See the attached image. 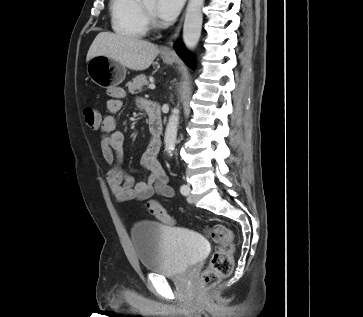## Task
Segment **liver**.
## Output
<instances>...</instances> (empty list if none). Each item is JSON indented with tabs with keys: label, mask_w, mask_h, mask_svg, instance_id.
Masks as SVG:
<instances>
[{
	"label": "liver",
	"mask_w": 363,
	"mask_h": 317,
	"mask_svg": "<svg viewBox=\"0 0 363 317\" xmlns=\"http://www.w3.org/2000/svg\"><path fill=\"white\" fill-rule=\"evenodd\" d=\"M159 53L158 46L151 42L136 37L101 32L91 44L86 61L89 62L95 56H107L131 70L142 71L152 64Z\"/></svg>",
	"instance_id": "1"
}]
</instances>
